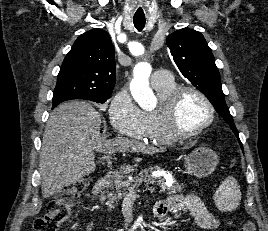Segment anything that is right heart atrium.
<instances>
[{
  "mask_svg": "<svg viewBox=\"0 0 268 231\" xmlns=\"http://www.w3.org/2000/svg\"><path fill=\"white\" fill-rule=\"evenodd\" d=\"M108 115L115 131L136 140L145 139L142 110L125 88L117 91L109 102Z\"/></svg>",
  "mask_w": 268,
  "mask_h": 231,
  "instance_id": "d8ad5b80",
  "label": "right heart atrium"
}]
</instances>
